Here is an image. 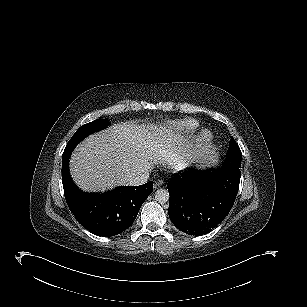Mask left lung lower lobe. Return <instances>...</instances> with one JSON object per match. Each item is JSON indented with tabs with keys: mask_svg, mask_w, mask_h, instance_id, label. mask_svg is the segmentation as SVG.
<instances>
[{
	"mask_svg": "<svg viewBox=\"0 0 307 307\" xmlns=\"http://www.w3.org/2000/svg\"><path fill=\"white\" fill-rule=\"evenodd\" d=\"M241 172L228 166L178 173L167 184L169 217L182 232L209 233L229 213L239 189Z\"/></svg>",
	"mask_w": 307,
	"mask_h": 307,
	"instance_id": "1",
	"label": "left lung lower lobe"
}]
</instances>
